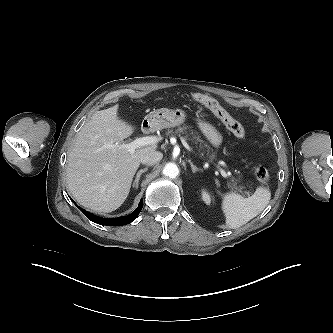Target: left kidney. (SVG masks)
Here are the masks:
<instances>
[{
    "mask_svg": "<svg viewBox=\"0 0 333 333\" xmlns=\"http://www.w3.org/2000/svg\"><path fill=\"white\" fill-rule=\"evenodd\" d=\"M202 199L207 205H209L211 203V197H210L209 193L206 192L205 190L202 191Z\"/></svg>",
    "mask_w": 333,
    "mask_h": 333,
    "instance_id": "5707ae66",
    "label": "left kidney"
}]
</instances>
